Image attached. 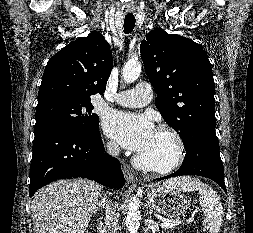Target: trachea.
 <instances>
[{"label": "trachea", "instance_id": "1", "mask_svg": "<svg viewBox=\"0 0 253 233\" xmlns=\"http://www.w3.org/2000/svg\"><path fill=\"white\" fill-rule=\"evenodd\" d=\"M134 27H135V17L132 13H128L125 16V20H124V32L126 34L131 33Z\"/></svg>", "mask_w": 253, "mask_h": 233}]
</instances>
